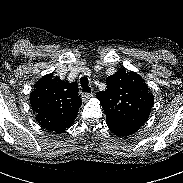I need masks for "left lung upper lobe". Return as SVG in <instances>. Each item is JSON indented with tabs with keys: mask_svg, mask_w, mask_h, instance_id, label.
Wrapping results in <instances>:
<instances>
[{
	"mask_svg": "<svg viewBox=\"0 0 183 183\" xmlns=\"http://www.w3.org/2000/svg\"><path fill=\"white\" fill-rule=\"evenodd\" d=\"M106 85L105 91L96 94L105 111L106 122L138 129L143 126L154 103V96L144 79L122 68L107 77Z\"/></svg>",
	"mask_w": 183,
	"mask_h": 183,
	"instance_id": "5c2ea615",
	"label": "left lung upper lobe"
}]
</instances>
